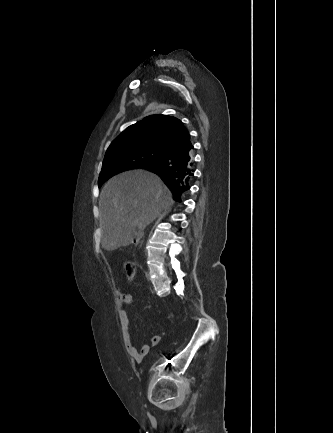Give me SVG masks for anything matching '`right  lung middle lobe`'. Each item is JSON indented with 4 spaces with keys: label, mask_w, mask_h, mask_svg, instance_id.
I'll return each instance as SVG.
<instances>
[{
    "label": "right lung middle lobe",
    "mask_w": 333,
    "mask_h": 433,
    "mask_svg": "<svg viewBox=\"0 0 333 433\" xmlns=\"http://www.w3.org/2000/svg\"><path fill=\"white\" fill-rule=\"evenodd\" d=\"M167 156L157 148H123L105 155L98 179L100 187L110 177L131 168H148Z\"/></svg>",
    "instance_id": "right-lung-middle-lobe-1"
}]
</instances>
